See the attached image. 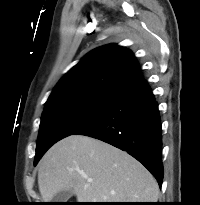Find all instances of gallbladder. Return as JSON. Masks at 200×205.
Wrapping results in <instances>:
<instances>
[{
  "mask_svg": "<svg viewBox=\"0 0 200 205\" xmlns=\"http://www.w3.org/2000/svg\"><path fill=\"white\" fill-rule=\"evenodd\" d=\"M73 191L62 190L54 195L53 202H67V200L73 196Z\"/></svg>",
  "mask_w": 200,
  "mask_h": 205,
  "instance_id": "gallbladder-1",
  "label": "gallbladder"
}]
</instances>
